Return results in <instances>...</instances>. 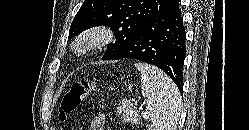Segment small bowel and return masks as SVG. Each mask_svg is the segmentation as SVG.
<instances>
[{"instance_id":"c3829d8e","label":"small bowel","mask_w":249,"mask_h":130,"mask_svg":"<svg viewBox=\"0 0 249 130\" xmlns=\"http://www.w3.org/2000/svg\"><path fill=\"white\" fill-rule=\"evenodd\" d=\"M105 118L103 115H97L90 123L89 130H104Z\"/></svg>"}]
</instances>
